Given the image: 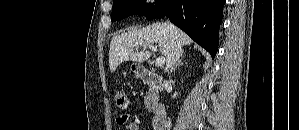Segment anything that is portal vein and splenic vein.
<instances>
[{
  "mask_svg": "<svg viewBox=\"0 0 299 130\" xmlns=\"http://www.w3.org/2000/svg\"><path fill=\"white\" fill-rule=\"evenodd\" d=\"M146 48H149V49H151V50H153V51H157V47H156V46H153V45L144 46V49H146ZM136 50L138 51V48H136ZM165 61H166L165 57H163V56L158 57V58L156 59L155 65H156L157 67H160V66H162V65L165 63Z\"/></svg>",
  "mask_w": 299,
  "mask_h": 130,
  "instance_id": "1",
  "label": "portal vein and splenic vein"
}]
</instances>
